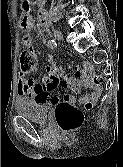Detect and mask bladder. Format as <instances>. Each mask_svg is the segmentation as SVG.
<instances>
[{"mask_svg": "<svg viewBox=\"0 0 123 167\" xmlns=\"http://www.w3.org/2000/svg\"><path fill=\"white\" fill-rule=\"evenodd\" d=\"M52 104L47 101H35L28 98H20L15 103L16 112L35 123L44 124L48 121Z\"/></svg>", "mask_w": 123, "mask_h": 167, "instance_id": "31cf9c89", "label": "bladder"}]
</instances>
